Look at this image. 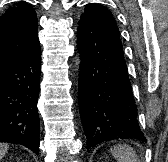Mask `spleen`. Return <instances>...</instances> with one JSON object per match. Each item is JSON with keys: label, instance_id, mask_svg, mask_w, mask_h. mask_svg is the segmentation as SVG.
I'll use <instances>...</instances> for the list:
<instances>
[{"label": "spleen", "instance_id": "spleen-1", "mask_svg": "<svg viewBox=\"0 0 168 162\" xmlns=\"http://www.w3.org/2000/svg\"><path fill=\"white\" fill-rule=\"evenodd\" d=\"M111 153L117 162H140L135 150L128 145H115Z\"/></svg>", "mask_w": 168, "mask_h": 162}]
</instances>
